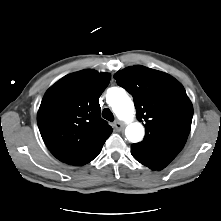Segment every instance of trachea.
I'll return each mask as SVG.
<instances>
[{"instance_id":"obj_1","label":"trachea","mask_w":221,"mask_h":221,"mask_svg":"<svg viewBox=\"0 0 221 221\" xmlns=\"http://www.w3.org/2000/svg\"><path fill=\"white\" fill-rule=\"evenodd\" d=\"M102 117L110 122L114 121V115L108 108L102 111Z\"/></svg>"}]
</instances>
